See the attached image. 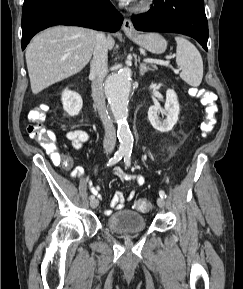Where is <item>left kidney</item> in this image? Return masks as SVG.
Returning <instances> with one entry per match:
<instances>
[{"label":"left kidney","instance_id":"obj_1","mask_svg":"<svg viewBox=\"0 0 243 289\" xmlns=\"http://www.w3.org/2000/svg\"><path fill=\"white\" fill-rule=\"evenodd\" d=\"M159 113L165 114L166 119L161 121L158 116ZM179 113L180 107L177 95L174 90L168 89L164 108H161L160 105L151 106L148 110V119L154 129L160 132H168L177 123Z\"/></svg>","mask_w":243,"mask_h":289}]
</instances>
